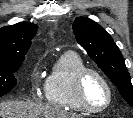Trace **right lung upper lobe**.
<instances>
[{"instance_id":"right-lung-upper-lobe-1","label":"right lung upper lobe","mask_w":133,"mask_h":118,"mask_svg":"<svg viewBox=\"0 0 133 118\" xmlns=\"http://www.w3.org/2000/svg\"><path fill=\"white\" fill-rule=\"evenodd\" d=\"M38 26L20 22L0 29V63L23 61Z\"/></svg>"}]
</instances>
